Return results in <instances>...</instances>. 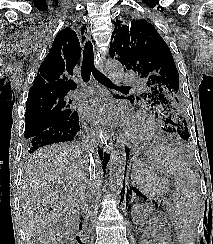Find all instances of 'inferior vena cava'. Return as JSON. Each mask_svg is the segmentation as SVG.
Listing matches in <instances>:
<instances>
[{
  "instance_id": "1",
  "label": "inferior vena cava",
  "mask_w": 213,
  "mask_h": 244,
  "mask_svg": "<svg viewBox=\"0 0 213 244\" xmlns=\"http://www.w3.org/2000/svg\"><path fill=\"white\" fill-rule=\"evenodd\" d=\"M84 142H89V137H84ZM82 148H84L88 154H89V179L92 181L91 185L87 187L88 192L85 195L83 204H82V209L83 213L85 215H91L92 211L96 208V203H95V198H94V188L99 184V181L96 180V175H97V169L94 166V159H93V150L91 148V145H88L86 143L82 144Z\"/></svg>"
}]
</instances>
